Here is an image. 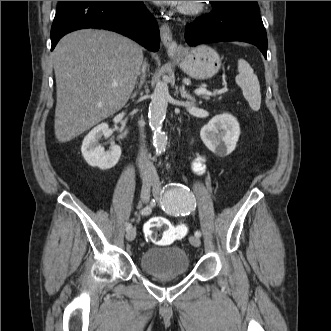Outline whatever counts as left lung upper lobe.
Segmentation results:
<instances>
[{
	"mask_svg": "<svg viewBox=\"0 0 331 331\" xmlns=\"http://www.w3.org/2000/svg\"><path fill=\"white\" fill-rule=\"evenodd\" d=\"M212 5H217L221 2H226V1H209Z\"/></svg>",
	"mask_w": 331,
	"mask_h": 331,
	"instance_id": "1",
	"label": "left lung upper lobe"
}]
</instances>
